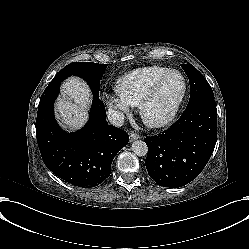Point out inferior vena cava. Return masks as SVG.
<instances>
[{
	"label": "inferior vena cava",
	"instance_id": "inferior-vena-cava-1",
	"mask_svg": "<svg viewBox=\"0 0 249 249\" xmlns=\"http://www.w3.org/2000/svg\"><path fill=\"white\" fill-rule=\"evenodd\" d=\"M107 120L111 125L121 127L124 124L125 116L116 107L110 106L107 110Z\"/></svg>",
	"mask_w": 249,
	"mask_h": 249
}]
</instances>
